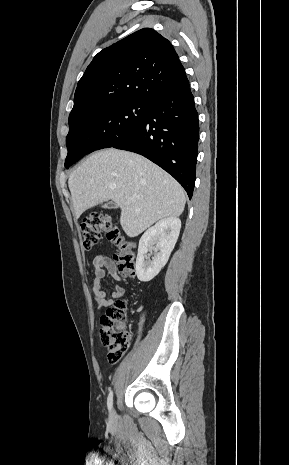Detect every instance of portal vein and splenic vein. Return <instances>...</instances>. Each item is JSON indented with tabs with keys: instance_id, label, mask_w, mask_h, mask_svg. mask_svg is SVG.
Listing matches in <instances>:
<instances>
[{
	"instance_id": "1",
	"label": "portal vein and splenic vein",
	"mask_w": 289,
	"mask_h": 465,
	"mask_svg": "<svg viewBox=\"0 0 289 465\" xmlns=\"http://www.w3.org/2000/svg\"><path fill=\"white\" fill-rule=\"evenodd\" d=\"M134 199H135L134 197L128 198L129 201H133Z\"/></svg>"
}]
</instances>
